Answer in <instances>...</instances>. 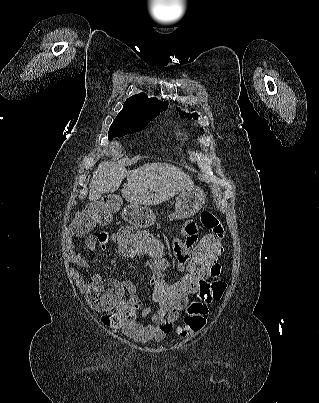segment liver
<instances>
[{
	"instance_id": "1",
	"label": "liver",
	"mask_w": 319,
	"mask_h": 403,
	"mask_svg": "<svg viewBox=\"0 0 319 403\" xmlns=\"http://www.w3.org/2000/svg\"><path fill=\"white\" fill-rule=\"evenodd\" d=\"M120 143L113 141L108 153L115 158L121 155ZM127 176V185L121 190L126 201L134 206L161 204L186 188L194 186L192 179L174 165L152 162L134 170L112 161L101 162L93 173L90 186V201L98 200L104 193L118 190Z\"/></svg>"
}]
</instances>
